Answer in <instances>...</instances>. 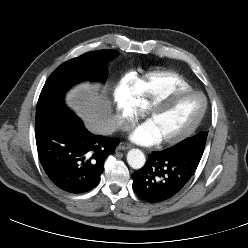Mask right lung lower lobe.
<instances>
[{
    "mask_svg": "<svg viewBox=\"0 0 248 248\" xmlns=\"http://www.w3.org/2000/svg\"><path fill=\"white\" fill-rule=\"evenodd\" d=\"M35 122L38 155L51 181L74 194L97 186L119 139L90 133L63 98L38 100Z\"/></svg>",
    "mask_w": 248,
    "mask_h": 248,
    "instance_id": "right-lung-lower-lobe-1",
    "label": "right lung lower lobe"
}]
</instances>
